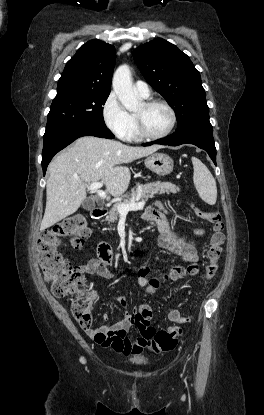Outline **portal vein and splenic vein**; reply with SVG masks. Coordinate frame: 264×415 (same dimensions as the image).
<instances>
[{"label":"portal vein and splenic vein","instance_id":"18ae733b","mask_svg":"<svg viewBox=\"0 0 264 415\" xmlns=\"http://www.w3.org/2000/svg\"><path fill=\"white\" fill-rule=\"evenodd\" d=\"M102 186H103L102 182H94V183L87 185L88 189L91 192H95L100 198L105 199L107 195L103 190H101ZM144 205H145V200H142L139 202H131L128 204H120L118 205L117 210L119 214L125 215L129 211L141 210L144 207Z\"/></svg>","mask_w":264,"mask_h":415}]
</instances>
